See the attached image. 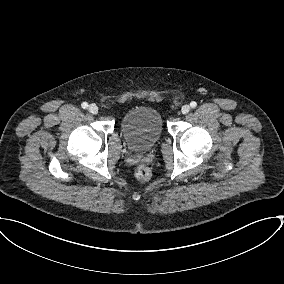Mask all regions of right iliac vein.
<instances>
[{
  "instance_id": "obj_1",
  "label": "right iliac vein",
  "mask_w": 284,
  "mask_h": 284,
  "mask_svg": "<svg viewBox=\"0 0 284 284\" xmlns=\"http://www.w3.org/2000/svg\"><path fill=\"white\" fill-rule=\"evenodd\" d=\"M89 112L92 114H97L98 113V107L96 104H91L88 108Z\"/></svg>"
}]
</instances>
